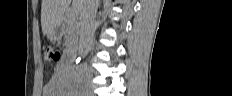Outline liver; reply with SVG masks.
Wrapping results in <instances>:
<instances>
[{"label": "liver", "instance_id": "liver-1", "mask_svg": "<svg viewBox=\"0 0 232 96\" xmlns=\"http://www.w3.org/2000/svg\"><path fill=\"white\" fill-rule=\"evenodd\" d=\"M80 1L78 0V5ZM70 2L71 0H42L41 27L44 35H48L60 26Z\"/></svg>", "mask_w": 232, "mask_h": 96}]
</instances>
